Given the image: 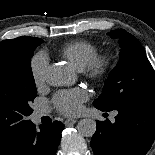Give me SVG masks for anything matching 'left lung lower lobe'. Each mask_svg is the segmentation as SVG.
<instances>
[{"mask_svg": "<svg viewBox=\"0 0 155 155\" xmlns=\"http://www.w3.org/2000/svg\"><path fill=\"white\" fill-rule=\"evenodd\" d=\"M115 110L114 123H96L91 139L94 154L145 155L155 139V96L136 99Z\"/></svg>", "mask_w": 155, "mask_h": 155, "instance_id": "obj_1", "label": "left lung lower lobe"}]
</instances>
